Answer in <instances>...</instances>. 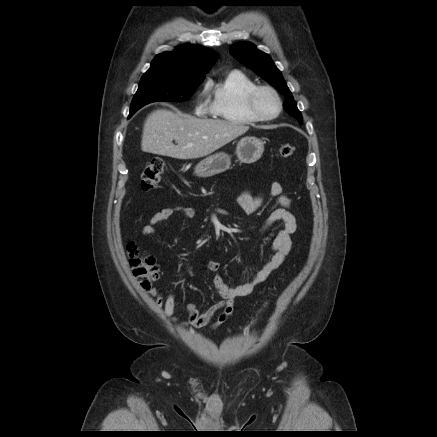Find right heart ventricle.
I'll use <instances>...</instances> for the list:
<instances>
[{
    "label": "right heart ventricle",
    "mask_w": 437,
    "mask_h": 437,
    "mask_svg": "<svg viewBox=\"0 0 437 437\" xmlns=\"http://www.w3.org/2000/svg\"><path fill=\"white\" fill-rule=\"evenodd\" d=\"M256 83L245 73L233 70L208 84L212 100L210 109L221 119L233 124H251L256 122L246 106L248 93Z\"/></svg>",
    "instance_id": "obj_1"
}]
</instances>
